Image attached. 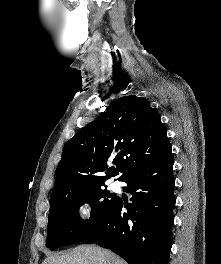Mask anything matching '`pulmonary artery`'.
Listing matches in <instances>:
<instances>
[{"label": "pulmonary artery", "instance_id": "1", "mask_svg": "<svg viewBox=\"0 0 221 264\" xmlns=\"http://www.w3.org/2000/svg\"><path fill=\"white\" fill-rule=\"evenodd\" d=\"M112 187L113 188H118V183H116V182L112 183Z\"/></svg>", "mask_w": 221, "mask_h": 264}]
</instances>
